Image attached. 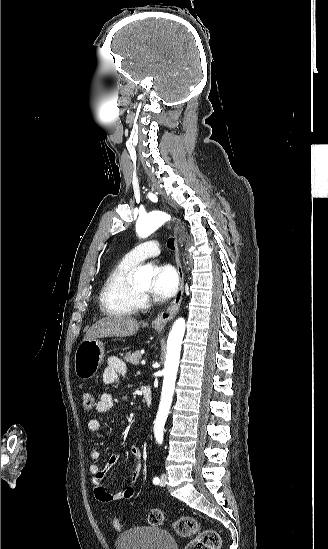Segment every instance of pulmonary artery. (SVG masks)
<instances>
[{
    "mask_svg": "<svg viewBox=\"0 0 328 549\" xmlns=\"http://www.w3.org/2000/svg\"><path fill=\"white\" fill-rule=\"evenodd\" d=\"M162 244L160 238L155 237L152 241H143L141 246L135 247L130 250L126 257L134 262H142L150 257H156L161 253V250L158 248Z\"/></svg>",
    "mask_w": 328,
    "mask_h": 549,
    "instance_id": "obj_1",
    "label": "pulmonary artery"
}]
</instances>
